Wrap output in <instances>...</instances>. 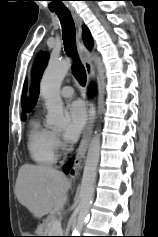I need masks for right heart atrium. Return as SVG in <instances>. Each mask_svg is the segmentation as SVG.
<instances>
[{
	"instance_id": "1",
	"label": "right heart atrium",
	"mask_w": 158,
	"mask_h": 237,
	"mask_svg": "<svg viewBox=\"0 0 158 237\" xmlns=\"http://www.w3.org/2000/svg\"><path fill=\"white\" fill-rule=\"evenodd\" d=\"M53 139H54L55 148H56V149L61 148L62 142H61V140H60V137H59L57 134H54V135H53Z\"/></svg>"
}]
</instances>
